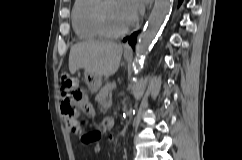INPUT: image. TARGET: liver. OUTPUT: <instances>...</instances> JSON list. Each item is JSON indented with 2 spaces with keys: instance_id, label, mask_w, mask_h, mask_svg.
Here are the masks:
<instances>
[{
  "instance_id": "1",
  "label": "liver",
  "mask_w": 242,
  "mask_h": 160,
  "mask_svg": "<svg viewBox=\"0 0 242 160\" xmlns=\"http://www.w3.org/2000/svg\"><path fill=\"white\" fill-rule=\"evenodd\" d=\"M123 53L121 44L108 41H84L71 47L69 54V71L74 74L84 69L99 77L114 75L120 65Z\"/></svg>"
}]
</instances>
